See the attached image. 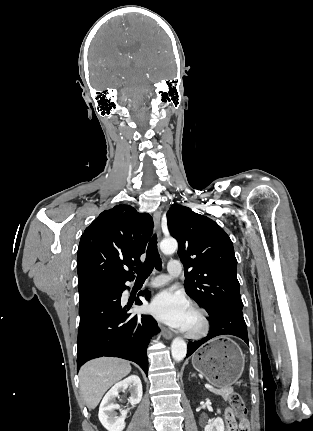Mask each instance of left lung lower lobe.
Listing matches in <instances>:
<instances>
[{"label": "left lung lower lobe", "instance_id": "0a47b994", "mask_svg": "<svg viewBox=\"0 0 313 431\" xmlns=\"http://www.w3.org/2000/svg\"><path fill=\"white\" fill-rule=\"evenodd\" d=\"M211 330L207 337L199 341L188 343L187 357H189L202 344L219 335H234L243 339L248 345L247 327L243 318L242 310H221L209 318Z\"/></svg>", "mask_w": 313, "mask_h": 431}]
</instances>
